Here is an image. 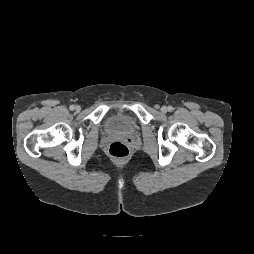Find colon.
Here are the masks:
<instances>
[{
  "label": "colon",
  "instance_id": "obj_1",
  "mask_svg": "<svg viewBox=\"0 0 254 254\" xmlns=\"http://www.w3.org/2000/svg\"><path fill=\"white\" fill-rule=\"evenodd\" d=\"M108 155L110 158H112L114 161H124L129 156V148L128 146L123 142H113L108 147Z\"/></svg>",
  "mask_w": 254,
  "mask_h": 254
}]
</instances>
